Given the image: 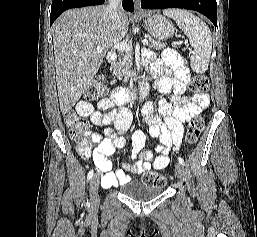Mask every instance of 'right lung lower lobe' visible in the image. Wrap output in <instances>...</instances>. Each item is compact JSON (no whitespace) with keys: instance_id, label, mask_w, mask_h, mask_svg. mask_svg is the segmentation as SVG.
Segmentation results:
<instances>
[{"instance_id":"right-lung-lower-lobe-1","label":"right lung lower lobe","mask_w":257,"mask_h":237,"mask_svg":"<svg viewBox=\"0 0 257 237\" xmlns=\"http://www.w3.org/2000/svg\"><path fill=\"white\" fill-rule=\"evenodd\" d=\"M105 0H53L50 14V25L67 9L85 7L89 5H100ZM123 8L133 12V0H123Z\"/></svg>"}]
</instances>
